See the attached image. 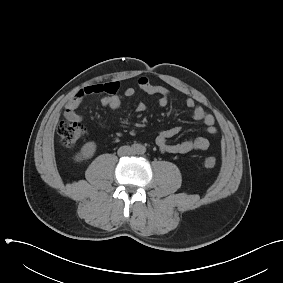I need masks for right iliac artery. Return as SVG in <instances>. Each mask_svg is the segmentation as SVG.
I'll return each instance as SVG.
<instances>
[{
	"instance_id": "obj_1",
	"label": "right iliac artery",
	"mask_w": 283,
	"mask_h": 283,
	"mask_svg": "<svg viewBox=\"0 0 283 283\" xmlns=\"http://www.w3.org/2000/svg\"><path fill=\"white\" fill-rule=\"evenodd\" d=\"M132 149L135 151V150H138L139 149V146L137 144H133L132 145Z\"/></svg>"
}]
</instances>
